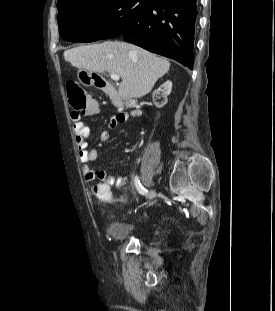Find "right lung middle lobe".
Segmentation results:
<instances>
[{"instance_id": "obj_1", "label": "right lung middle lobe", "mask_w": 275, "mask_h": 311, "mask_svg": "<svg viewBox=\"0 0 275 311\" xmlns=\"http://www.w3.org/2000/svg\"><path fill=\"white\" fill-rule=\"evenodd\" d=\"M157 0H71L57 6L61 36L72 42L119 36Z\"/></svg>"}]
</instances>
